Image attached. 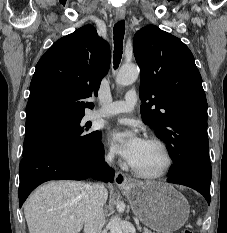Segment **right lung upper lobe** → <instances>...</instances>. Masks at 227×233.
Masks as SVG:
<instances>
[{
  "label": "right lung upper lobe",
  "instance_id": "obj_1",
  "mask_svg": "<svg viewBox=\"0 0 227 233\" xmlns=\"http://www.w3.org/2000/svg\"><path fill=\"white\" fill-rule=\"evenodd\" d=\"M109 66V45L93 26L56 41L36 65L25 135L83 118L85 108L94 107L85 99L97 95Z\"/></svg>",
  "mask_w": 227,
  "mask_h": 233
}]
</instances>
